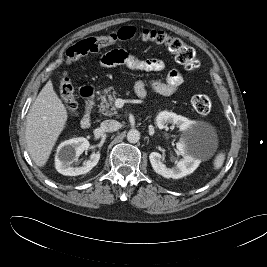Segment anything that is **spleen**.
<instances>
[{
  "instance_id": "1",
  "label": "spleen",
  "mask_w": 267,
  "mask_h": 267,
  "mask_svg": "<svg viewBox=\"0 0 267 267\" xmlns=\"http://www.w3.org/2000/svg\"><path fill=\"white\" fill-rule=\"evenodd\" d=\"M225 160V153L220 151L213 160V166L215 170H219L224 163Z\"/></svg>"
}]
</instances>
